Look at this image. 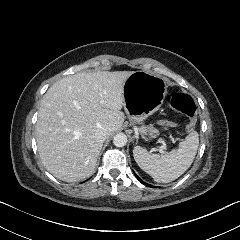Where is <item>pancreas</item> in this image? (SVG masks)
<instances>
[{
  "label": "pancreas",
  "mask_w": 240,
  "mask_h": 240,
  "mask_svg": "<svg viewBox=\"0 0 240 240\" xmlns=\"http://www.w3.org/2000/svg\"><path fill=\"white\" fill-rule=\"evenodd\" d=\"M138 132L142 138L150 141L159 136L160 132L158 128H155L152 123L150 124H141L138 127Z\"/></svg>",
  "instance_id": "pancreas-1"
}]
</instances>
